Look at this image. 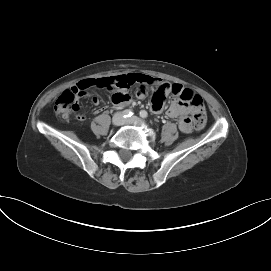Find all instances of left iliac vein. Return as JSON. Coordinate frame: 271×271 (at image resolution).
Masks as SVG:
<instances>
[{
	"label": "left iliac vein",
	"instance_id": "1",
	"mask_svg": "<svg viewBox=\"0 0 271 271\" xmlns=\"http://www.w3.org/2000/svg\"><path fill=\"white\" fill-rule=\"evenodd\" d=\"M124 123H125V124L145 125V122H144L142 119H140V118H138V117H136V116H133V117H131V118L125 119V120H124Z\"/></svg>",
	"mask_w": 271,
	"mask_h": 271
}]
</instances>
